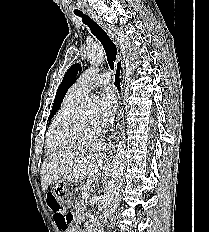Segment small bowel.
Here are the masks:
<instances>
[{
	"label": "small bowel",
	"instance_id": "1",
	"mask_svg": "<svg viewBox=\"0 0 209 232\" xmlns=\"http://www.w3.org/2000/svg\"><path fill=\"white\" fill-rule=\"evenodd\" d=\"M84 215V210L82 207H79L76 212L74 213V218L75 219H80L82 218ZM59 227V226H58ZM60 228V227H59ZM60 230L64 231V232H80V229L76 226V225H73V226H69L67 227L66 229H61Z\"/></svg>",
	"mask_w": 209,
	"mask_h": 232
}]
</instances>
